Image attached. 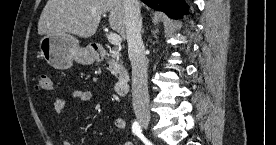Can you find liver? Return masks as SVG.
Listing matches in <instances>:
<instances>
[{
  "label": "liver",
  "mask_w": 276,
  "mask_h": 145,
  "mask_svg": "<svg viewBox=\"0 0 276 145\" xmlns=\"http://www.w3.org/2000/svg\"><path fill=\"white\" fill-rule=\"evenodd\" d=\"M109 12L111 29L126 38V9L123 0H48L38 21V34L93 36L101 16Z\"/></svg>",
  "instance_id": "6515ba94"
}]
</instances>
